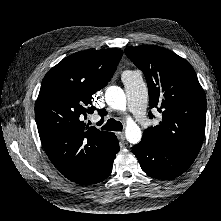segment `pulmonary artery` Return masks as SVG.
Instances as JSON below:
<instances>
[{
    "mask_svg": "<svg viewBox=\"0 0 221 221\" xmlns=\"http://www.w3.org/2000/svg\"><path fill=\"white\" fill-rule=\"evenodd\" d=\"M125 87L127 106L125 111L140 124L147 123L146 104L148 98L147 85L139 70L125 71L122 74Z\"/></svg>",
    "mask_w": 221,
    "mask_h": 221,
    "instance_id": "obj_1",
    "label": "pulmonary artery"
}]
</instances>
